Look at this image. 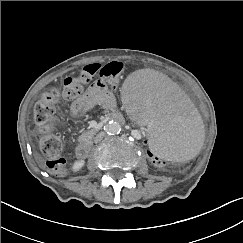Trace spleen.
Listing matches in <instances>:
<instances>
[{"mask_svg": "<svg viewBox=\"0 0 243 243\" xmlns=\"http://www.w3.org/2000/svg\"><path fill=\"white\" fill-rule=\"evenodd\" d=\"M124 98L133 114L151 122L149 142L169 160L195 156L203 140V125L182 86L153 70L131 74L124 85Z\"/></svg>", "mask_w": 243, "mask_h": 243, "instance_id": "3e777b00", "label": "spleen"}]
</instances>
